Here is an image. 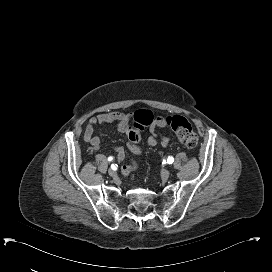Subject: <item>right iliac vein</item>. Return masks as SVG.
I'll return each mask as SVG.
<instances>
[{"mask_svg":"<svg viewBox=\"0 0 272 272\" xmlns=\"http://www.w3.org/2000/svg\"><path fill=\"white\" fill-rule=\"evenodd\" d=\"M108 174L111 176V177H116L117 176V172L113 169H109L108 171Z\"/></svg>","mask_w":272,"mask_h":272,"instance_id":"right-iliac-vein-1","label":"right iliac vein"}]
</instances>
